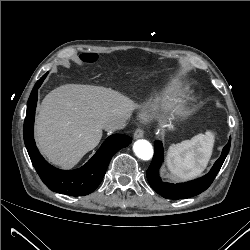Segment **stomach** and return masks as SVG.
I'll use <instances>...</instances> for the list:
<instances>
[{"label":"stomach","mask_w":250,"mask_h":250,"mask_svg":"<svg viewBox=\"0 0 250 250\" xmlns=\"http://www.w3.org/2000/svg\"><path fill=\"white\" fill-rule=\"evenodd\" d=\"M169 128H170V129H173V126L170 125Z\"/></svg>","instance_id":"stomach-1"}]
</instances>
